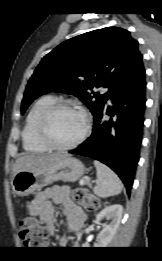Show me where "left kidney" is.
<instances>
[{
    "label": "left kidney",
    "mask_w": 162,
    "mask_h": 261,
    "mask_svg": "<svg viewBox=\"0 0 162 261\" xmlns=\"http://www.w3.org/2000/svg\"><path fill=\"white\" fill-rule=\"evenodd\" d=\"M123 207L120 204H114L104 208L97 216L96 220L101 221L103 218L110 220L108 224L103 225V229L99 234V239L94 244L96 248L107 247L116 234L117 228L122 218Z\"/></svg>",
    "instance_id": "left-kidney-1"
}]
</instances>
